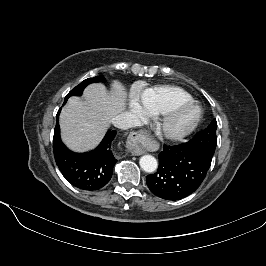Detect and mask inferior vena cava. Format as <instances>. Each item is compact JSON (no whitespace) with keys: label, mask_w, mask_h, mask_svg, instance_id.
Masks as SVG:
<instances>
[{"label":"inferior vena cava","mask_w":266,"mask_h":266,"mask_svg":"<svg viewBox=\"0 0 266 266\" xmlns=\"http://www.w3.org/2000/svg\"><path fill=\"white\" fill-rule=\"evenodd\" d=\"M113 125L119 129L126 130L136 127L140 124L139 119L129 112H122L115 116L112 121Z\"/></svg>","instance_id":"1"}]
</instances>
